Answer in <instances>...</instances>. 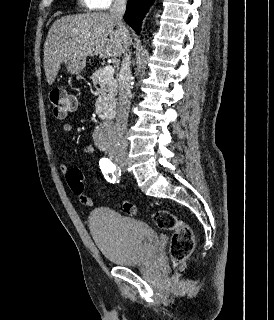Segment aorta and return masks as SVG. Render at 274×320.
Here are the masks:
<instances>
[{"label": "aorta", "instance_id": "aorta-1", "mask_svg": "<svg viewBox=\"0 0 274 320\" xmlns=\"http://www.w3.org/2000/svg\"><path fill=\"white\" fill-rule=\"evenodd\" d=\"M118 124L111 125L109 123H104L96 133V138L99 145L107 147L114 144L117 139Z\"/></svg>", "mask_w": 274, "mask_h": 320}]
</instances>
